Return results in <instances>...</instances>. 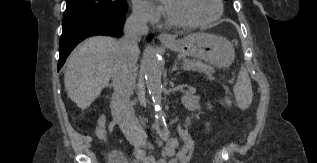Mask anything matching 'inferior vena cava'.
<instances>
[{"label": "inferior vena cava", "mask_w": 317, "mask_h": 163, "mask_svg": "<svg viewBox=\"0 0 317 163\" xmlns=\"http://www.w3.org/2000/svg\"><path fill=\"white\" fill-rule=\"evenodd\" d=\"M148 31L146 15L140 10H134L126 20L124 36L118 43V58L112 77V115L117 119L126 139L135 147L144 145L147 135L134 113L129 98L133 93L136 77L138 41Z\"/></svg>", "instance_id": "inferior-vena-cava-1"}]
</instances>
